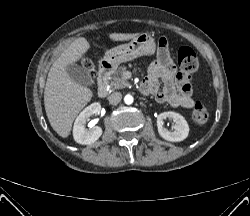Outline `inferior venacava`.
I'll return each instance as SVG.
<instances>
[{"label":"inferior vena cava","mask_w":250,"mask_h":216,"mask_svg":"<svg viewBox=\"0 0 250 216\" xmlns=\"http://www.w3.org/2000/svg\"><path fill=\"white\" fill-rule=\"evenodd\" d=\"M122 99V94L120 92H114L109 95L108 100L111 105H117Z\"/></svg>","instance_id":"1"}]
</instances>
